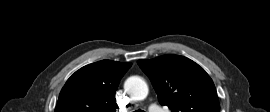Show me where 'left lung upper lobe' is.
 <instances>
[{"label": "left lung upper lobe", "mask_w": 270, "mask_h": 112, "mask_svg": "<svg viewBox=\"0 0 270 112\" xmlns=\"http://www.w3.org/2000/svg\"><path fill=\"white\" fill-rule=\"evenodd\" d=\"M138 64L151 79L160 104L172 112H220L212 79L192 60L163 55Z\"/></svg>", "instance_id": "obj_1"}]
</instances>
